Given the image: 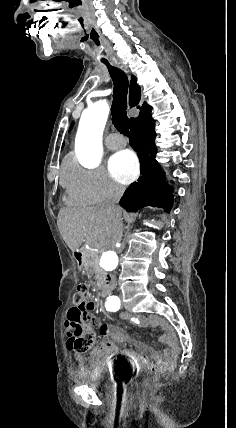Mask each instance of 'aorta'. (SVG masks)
<instances>
[{
  "label": "aorta",
  "instance_id": "obj_1",
  "mask_svg": "<svg viewBox=\"0 0 236 428\" xmlns=\"http://www.w3.org/2000/svg\"><path fill=\"white\" fill-rule=\"evenodd\" d=\"M109 114V105L105 100L89 106L80 118L75 139L77 156L85 166L98 165L102 153V135ZM118 256L114 251H105L102 254L100 265L106 271L117 268Z\"/></svg>",
  "mask_w": 236,
  "mask_h": 428
}]
</instances>
